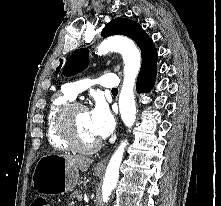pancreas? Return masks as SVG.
Returning a JSON list of instances; mask_svg holds the SVG:
<instances>
[{"instance_id": "pancreas-1", "label": "pancreas", "mask_w": 221, "mask_h": 206, "mask_svg": "<svg viewBox=\"0 0 221 206\" xmlns=\"http://www.w3.org/2000/svg\"><path fill=\"white\" fill-rule=\"evenodd\" d=\"M79 196H81V191H74L71 195H70V199H75L78 198ZM73 202L69 204V206H72Z\"/></svg>"}]
</instances>
